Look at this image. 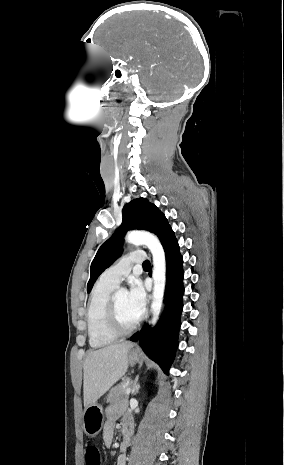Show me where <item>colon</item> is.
<instances>
[{
  "label": "colon",
  "mask_w": 284,
  "mask_h": 465,
  "mask_svg": "<svg viewBox=\"0 0 284 465\" xmlns=\"http://www.w3.org/2000/svg\"><path fill=\"white\" fill-rule=\"evenodd\" d=\"M85 453L89 455L86 458L87 465H100L101 458L98 456L97 446H86Z\"/></svg>",
  "instance_id": "obj_1"
}]
</instances>
